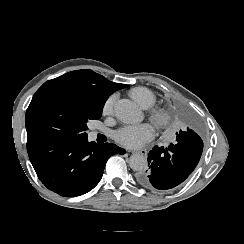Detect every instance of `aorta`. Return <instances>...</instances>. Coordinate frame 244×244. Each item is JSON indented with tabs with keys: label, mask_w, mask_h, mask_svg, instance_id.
I'll return each instance as SVG.
<instances>
[{
	"label": "aorta",
	"mask_w": 244,
	"mask_h": 244,
	"mask_svg": "<svg viewBox=\"0 0 244 244\" xmlns=\"http://www.w3.org/2000/svg\"><path fill=\"white\" fill-rule=\"evenodd\" d=\"M114 113L117 119L125 124H136L143 118L142 112L128 99H121L115 104ZM129 166L139 172L147 167V160L143 155L134 154L129 158Z\"/></svg>",
	"instance_id": "obj_1"
}]
</instances>
